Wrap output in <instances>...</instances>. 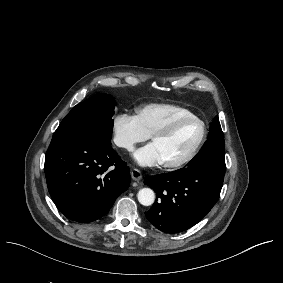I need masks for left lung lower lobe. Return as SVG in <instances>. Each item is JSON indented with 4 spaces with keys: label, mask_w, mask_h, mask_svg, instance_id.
I'll use <instances>...</instances> for the list:
<instances>
[{
    "label": "left lung lower lobe",
    "mask_w": 283,
    "mask_h": 283,
    "mask_svg": "<svg viewBox=\"0 0 283 283\" xmlns=\"http://www.w3.org/2000/svg\"><path fill=\"white\" fill-rule=\"evenodd\" d=\"M224 174L225 151L203 147L185 168L146 178L157 195L147 219L165 233L189 229L219 199Z\"/></svg>",
    "instance_id": "obj_1"
}]
</instances>
